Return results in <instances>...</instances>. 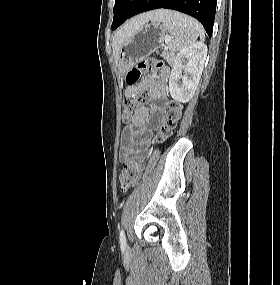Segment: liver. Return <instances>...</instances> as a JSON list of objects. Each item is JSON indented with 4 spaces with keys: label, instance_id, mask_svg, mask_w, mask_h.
<instances>
[{
    "label": "liver",
    "instance_id": "6515ba94",
    "mask_svg": "<svg viewBox=\"0 0 280 285\" xmlns=\"http://www.w3.org/2000/svg\"><path fill=\"white\" fill-rule=\"evenodd\" d=\"M157 12L152 11L138 15L124 25H122L119 30L115 33L112 43L113 54L115 61H118L119 52L122 47L123 42L128 39L135 31H137L141 26L145 25L148 21L156 17Z\"/></svg>",
    "mask_w": 280,
    "mask_h": 285
}]
</instances>
